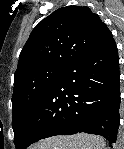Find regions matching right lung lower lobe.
I'll return each instance as SVG.
<instances>
[{
    "label": "right lung lower lobe",
    "mask_w": 124,
    "mask_h": 149,
    "mask_svg": "<svg viewBox=\"0 0 124 149\" xmlns=\"http://www.w3.org/2000/svg\"><path fill=\"white\" fill-rule=\"evenodd\" d=\"M120 72L116 43L72 62L51 84L24 130L17 149L41 139L76 133L116 142L120 123Z\"/></svg>",
    "instance_id": "1"
}]
</instances>
